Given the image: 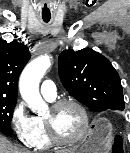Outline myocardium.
<instances>
[{
    "label": "myocardium",
    "instance_id": "obj_1",
    "mask_svg": "<svg viewBox=\"0 0 130 153\" xmlns=\"http://www.w3.org/2000/svg\"><path fill=\"white\" fill-rule=\"evenodd\" d=\"M64 105L75 106L82 117V129L80 133L74 138H64L60 136L55 128L53 121V114L59 110ZM44 122L50 139L60 145H74L81 142L88 134L90 129V118L88 112L84 105L76 99L73 98H62L54 101L50 106V113L44 117Z\"/></svg>",
    "mask_w": 130,
    "mask_h": 153
}]
</instances>
